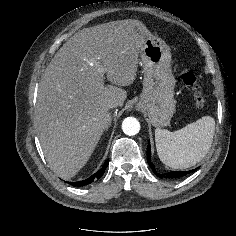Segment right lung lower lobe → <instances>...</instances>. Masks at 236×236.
<instances>
[{"mask_svg":"<svg viewBox=\"0 0 236 236\" xmlns=\"http://www.w3.org/2000/svg\"><path fill=\"white\" fill-rule=\"evenodd\" d=\"M108 165V160H106L105 164L103 165V167L96 172L95 174H93L92 176H90L89 178L82 180V181H78V182H69L72 186H76V187H82V186H86L90 183H93L94 181H96L97 179H99L105 172L106 167Z\"/></svg>","mask_w":236,"mask_h":236,"instance_id":"1","label":"right lung lower lobe"}]
</instances>
